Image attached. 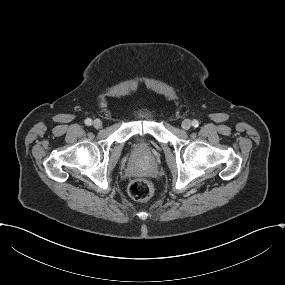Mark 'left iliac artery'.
Masks as SVG:
<instances>
[{
  "label": "left iliac artery",
  "mask_w": 285,
  "mask_h": 285,
  "mask_svg": "<svg viewBox=\"0 0 285 285\" xmlns=\"http://www.w3.org/2000/svg\"><path fill=\"white\" fill-rule=\"evenodd\" d=\"M192 126L198 127L199 126V121L198 120H193L192 121Z\"/></svg>",
  "instance_id": "left-iliac-artery-1"
}]
</instances>
